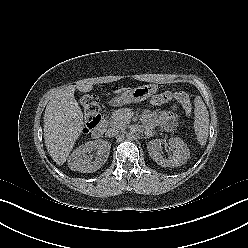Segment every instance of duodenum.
I'll return each instance as SVG.
<instances>
[{
	"instance_id": "duodenum-1",
	"label": "duodenum",
	"mask_w": 248,
	"mask_h": 248,
	"mask_svg": "<svg viewBox=\"0 0 248 248\" xmlns=\"http://www.w3.org/2000/svg\"><path fill=\"white\" fill-rule=\"evenodd\" d=\"M91 129H92V136L94 138L102 137L106 129V120H103L102 117H99L96 120L95 125Z\"/></svg>"
}]
</instances>
